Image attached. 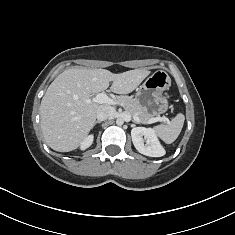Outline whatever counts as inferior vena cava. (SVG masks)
Segmentation results:
<instances>
[{
    "label": "inferior vena cava",
    "instance_id": "inferior-vena-cava-1",
    "mask_svg": "<svg viewBox=\"0 0 235 235\" xmlns=\"http://www.w3.org/2000/svg\"><path fill=\"white\" fill-rule=\"evenodd\" d=\"M114 113V109L111 106H101L96 114V118L99 121L106 120L110 118Z\"/></svg>",
    "mask_w": 235,
    "mask_h": 235
}]
</instances>
